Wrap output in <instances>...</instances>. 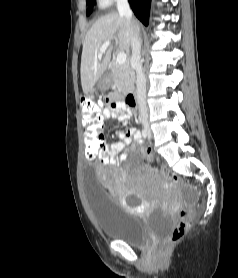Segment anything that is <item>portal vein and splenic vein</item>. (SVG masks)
Instances as JSON below:
<instances>
[{"label":"portal vein and splenic vein","mask_w":238,"mask_h":278,"mask_svg":"<svg viewBox=\"0 0 238 278\" xmlns=\"http://www.w3.org/2000/svg\"><path fill=\"white\" fill-rule=\"evenodd\" d=\"M111 45L110 41H106L99 49V56L101 57L105 51L107 50V48ZM127 59V55L125 52H120L117 54V59L116 62L120 65L125 64Z\"/></svg>","instance_id":"1"}]
</instances>
